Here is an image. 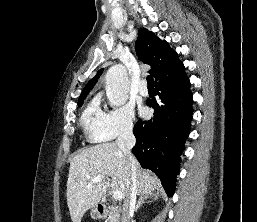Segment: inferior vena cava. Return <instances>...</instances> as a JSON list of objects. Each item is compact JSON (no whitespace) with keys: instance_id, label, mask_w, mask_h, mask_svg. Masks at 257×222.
Instances as JSON below:
<instances>
[{"instance_id":"602c4592","label":"inferior vena cava","mask_w":257,"mask_h":222,"mask_svg":"<svg viewBox=\"0 0 257 222\" xmlns=\"http://www.w3.org/2000/svg\"><path fill=\"white\" fill-rule=\"evenodd\" d=\"M135 136L133 134V125L127 124L125 125L117 140L116 145L119 150L123 153L124 157L127 160V164L129 167V172L131 175V188L129 196L124 200L123 203V212H122V222H129V218L131 214L134 213L135 205H136V179H137V171H136V161L131 153V149L135 145Z\"/></svg>"}]
</instances>
